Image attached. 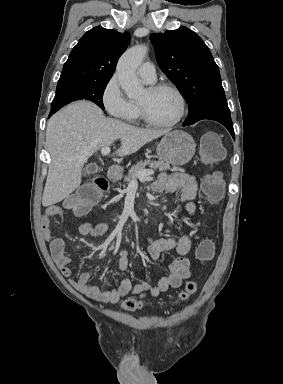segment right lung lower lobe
<instances>
[{
	"label": "right lung lower lobe",
	"mask_w": 283,
	"mask_h": 384,
	"mask_svg": "<svg viewBox=\"0 0 283 384\" xmlns=\"http://www.w3.org/2000/svg\"><path fill=\"white\" fill-rule=\"evenodd\" d=\"M57 110H52L51 109V111H50V114H49V117H51L53 114H54V112H56Z\"/></svg>",
	"instance_id": "right-lung-lower-lobe-1"
}]
</instances>
